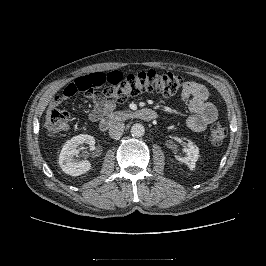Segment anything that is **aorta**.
<instances>
[{"mask_svg":"<svg viewBox=\"0 0 266 266\" xmlns=\"http://www.w3.org/2000/svg\"><path fill=\"white\" fill-rule=\"evenodd\" d=\"M145 133V128L142 124L136 123L131 127V134L136 137H141Z\"/></svg>","mask_w":266,"mask_h":266,"instance_id":"aorta-1","label":"aorta"}]
</instances>
